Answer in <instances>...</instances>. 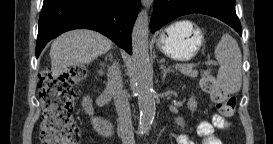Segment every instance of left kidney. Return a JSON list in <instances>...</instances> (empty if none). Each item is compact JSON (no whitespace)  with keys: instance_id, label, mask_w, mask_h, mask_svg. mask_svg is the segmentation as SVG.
<instances>
[{"instance_id":"5707ae66","label":"left kidney","mask_w":273,"mask_h":144,"mask_svg":"<svg viewBox=\"0 0 273 144\" xmlns=\"http://www.w3.org/2000/svg\"><path fill=\"white\" fill-rule=\"evenodd\" d=\"M187 106L191 112H194L197 108V101L195 100V98H193V97L190 98L187 103ZM176 123H177V125H179L181 127H184V125H185L184 120L182 118H177Z\"/></svg>"}]
</instances>
